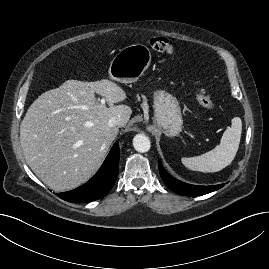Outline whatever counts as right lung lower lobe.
I'll list each match as a JSON object with an SVG mask.
<instances>
[{
    "label": "right lung lower lobe",
    "instance_id": "1",
    "mask_svg": "<svg viewBox=\"0 0 269 269\" xmlns=\"http://www.w3.org/2000/svg\"><path fill=\"white\" fill-rule=\"evenodd\" d=\"M119 170V144L116 142L99 171L84 185L57 195L68 202H91L103 198L114 186Z\"/></svg>",
    "mask_w": 269,
    "mask_h": 269
}]
</instances>
